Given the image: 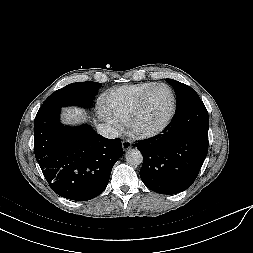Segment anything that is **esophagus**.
Returning <instances> with one entry per match:
<instances>
[{"mask_svg":"<svg viewBox=\"0 0 253 253\" xmlns=\"http://www.w3.org/2000/svg\"><path fill=\"white\" fill-rule=\"evenodd\" d=\"M123 150L126 151L132 147V143L129 140H124L122 142Z\"/></svg>","mask_w":253,"mask_h":253,"instance_id":"esophagus-1","label":"esophagus"}]
</instances>
